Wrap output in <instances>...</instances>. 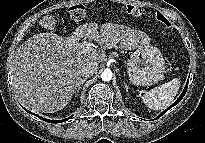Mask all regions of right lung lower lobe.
<instances>
[{
	"label": "right lung lower lobe",
	"mask_w": 205,
	"mask_h": 143,
	"mask_svg": "<svg viewBox=\"0 0 205 143\" xmlns=\"http://www.w3.org/2000/svg\"><path fill=\"white\" fill-rule=\"evenodd\" d=\"M26 110V109H25ZM27 112H29V113H31L30 111H28V110H26ZM31 114H33V113H31ZM33 115H35V116H37L38 118H40V119H42V120H44V121H46V122H49V123H61V122H64V121H67L69 118H66V119H63V120H49V119H46V118H42V117H40V116H38V115H36V114H33Z\"/></svg>",
	"instance_id": "1"
}]
</instances>
